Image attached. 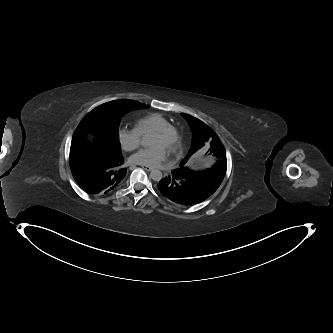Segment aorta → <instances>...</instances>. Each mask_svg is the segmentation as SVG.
Returning <instances> with one entry per match:
<instances>
[{"label":"aorta","mask_w":333,"mask_h":333,"mask_svg":"<svg viewBox=\"0 0 333 333\" xmlns=\"http://www.w3.org/2000/svg\"><path fill=\"white\" fill-rule=\"evenodd\" d=\"M157 144L155 136H145L142 138V145L144 147H150ZM150 178L154 181H160L162 179V172L159 170H152L150 172Z\"/></svg>","instance_id":"obj_1"}]
</instances>
